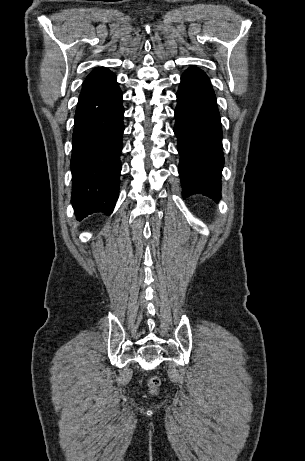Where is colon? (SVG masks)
I'll return each mask as SVG.
<instances>
[{"mask_svg": "<svg viewBox=\"0 0 305 461\" xmlns=\"http://www.w3.org/2000/svg\"><path fill=\"white\" fill-rule=\"evenodd\" d=\"M149 387L152 391H156L160 385V380L156 376H152L148 380Z\"/></svg>", "mask_w": 305, "mask_h": 461, "instance_id": "obj_1", "label": "colon"}]
</instances>
